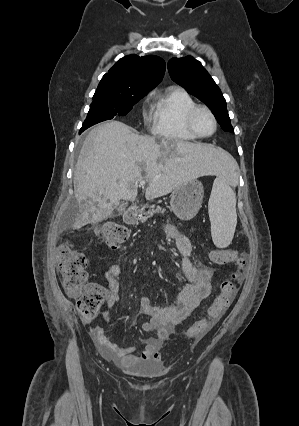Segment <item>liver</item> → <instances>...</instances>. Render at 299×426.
<instances>
[{"label":"liver","mask_w":299,"mask_h":426,"mask_svg":"<svg viewBox=\"0 0 299 426\" xmlns=\"http://www.w3.org/2000/svg\"><path fill=\"white\" fill-rule=\"evenodd\" d=\"M235 166L228 152L211 144L156 140L119 121L100 124L87 135L76 163L79 210L73 228L109 218L122 199L135 201L141 180L148 182L145 197L152 200L199 176L226 174Z\"/></svg>","instance_id":"1"}]
</instances>
